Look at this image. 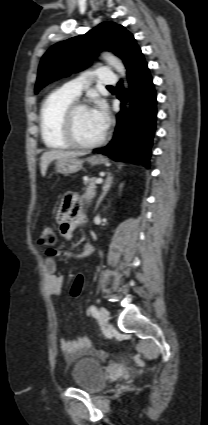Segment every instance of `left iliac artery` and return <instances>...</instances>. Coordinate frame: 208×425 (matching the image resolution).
Listing matches in <instances>:
<instances>
[{
	"instance_id": "1",
	"label": "left iliac artery",
	"mask_w": 208,
	"mask_h": 425,
	"mask_svg": "<svg viewBox=\"0 0 208 425\" xmlns=\"http://www.w3.org/2000/svg\"><path fill=\"white\" fill-rule=\"evenodd\" d=\"M90 312H91L92 316H94V317L98 316V310H97L96 306L92 305L90 307Z\"/></svg>"
}]
</instances>
